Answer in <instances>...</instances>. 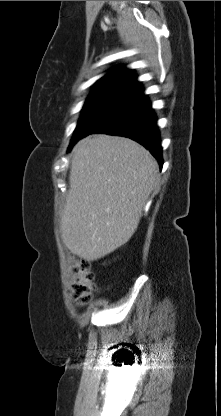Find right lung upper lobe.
I'll return each mask as SVG.
<instances>
[{
	"mask_svg": "<svg viewBox=\"0 0 221 416\" xmlns=\"http://www.w3.org/2000/svg\"><path fill=\"white\" fill-rule=\"evenodd\" d=\"M143 92V88L136 81L133 70L115 68L111 73L98 80L90 96L94 95H117L128 98Z\"/></svg>",
	"mask_w": 221,
	"mask_h": 416,
	"instance_id": "obj_1",
	"label": "right lung upper lobe"
}]
</instances>
